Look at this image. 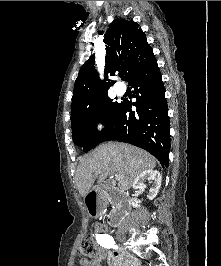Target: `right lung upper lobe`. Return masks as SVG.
<instances>
[{
    "label": "right lung upper lobe",
    "instance_id": "obj_1",
    "mask_svg": "<svg viewBox=\"0 0 221 266\" xmlns=\"http://www.w3.org/2000/svg\"><path fill=\"white\" fill-rule=\"evenodd\" d=\"M106 45L105 78L98 79L95 56L92 55L81 67L74 85L71 118L91 110L97 100L107 94L113 81L108 76L125 74L128 81L133 73L155 60L152 48L139 25L128 20H114L104 36Z\"/></svg>",
    "mask_w": 221,
    "mask_h": 266
}]
</instances>
